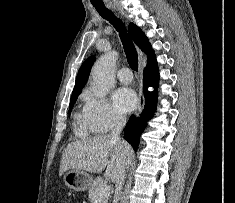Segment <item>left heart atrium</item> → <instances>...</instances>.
<instances>
[{
	"label": "left heart atrium",
	"mask_w": 235,
	"mask_h": 203,
	"mask_svg": "<svg viewBox=\"0 0 235 203\" xmlns=\"http://www.w3.org/2000/svg\"><path fill=\"white\" fill-rule=\"evenodd\" d=\"M113 103L120 113L131 112L137 105V97L134 91L127 87L117 89L113 94Z\"/></svg>",
	"instance_id": "1"
}]
</instances>
